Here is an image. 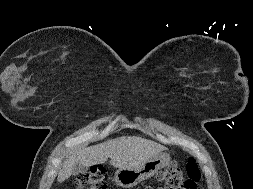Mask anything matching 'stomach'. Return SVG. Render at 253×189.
<instances>
[{
	"mask_svg": "<svg viewBox=\"0 0 253 189\" xmlns=\"http://www.w3.org/2000/svg\"><path fill=\"white\" fill-rule=\"evenodd\" d=\"M170 159L169 154L160 153L139 167L118 169L115 172L114 181L122 188H131L154 176L160 169L169 164Z\"/></svg>",
	"mask_w": 253,
	"mask_h": 189,
	"instance_id": "obj_1",
	"label": "stomach"
}]
</instances>
